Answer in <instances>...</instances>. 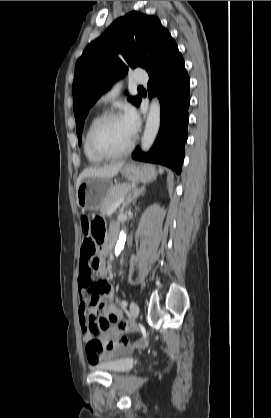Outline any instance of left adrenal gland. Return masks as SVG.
<instances>
[{
  "instance_id": "obj_1",
  "label": "left adrenal gland",
  "mask_w": 271,
  "mask_h": 418,
  "mask_svg": "<svg viewBox=\"0 0 271 418\" xmlns=\"http://www.w3.org/2000/svg\"><path fill=\"white\" fill-rule=\"evenodd\" d=\"M145 191V185L134 187L124 201L123 206L128 207L131 203H134L140 195H144Z\"/></svg>"
}]
</instances>
